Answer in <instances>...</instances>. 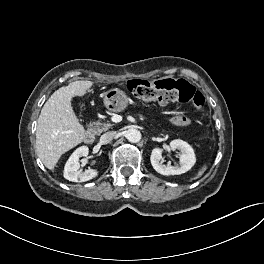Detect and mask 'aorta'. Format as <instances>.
I'll list each match as a JSON object with an SVG mask.
<instances>
[{"label":"aorta","mask_w":264,"mask_h":264,"mask_svg":"<svg viewBox=\"0 0 264 264\" xmlns=\"http://www.w3.org/2000/svg\"><path fill=\"white\" fill-rule=\"evenodd\" d=\"M126 138L131 143H137L141 140V133L135 128H130L126 132Z\"/></svg>","instance_id":"aorta-1"}]
</instances>
